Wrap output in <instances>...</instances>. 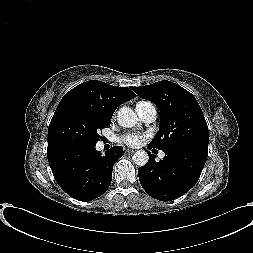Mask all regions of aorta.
<instances>
[{
    "instance_id": "762f6f07",
    "label": "aorta",
    "mask_w": 253,
    "mask_h": 253,
    "mask_svg": "<svg viewBox=\"0 0 253 253\" xmlns=\"http://www.w3.org/2000/svg\"><path fill=\"white\" fill-rule=\"evenodd\" d=\"M117 117L118 124L125 128L134 127L138 122L136 113L129 107H122L119 110ZM132 159L136 165L144 166L147 164L149 156L146 151L138 150L134 153Z\"/></svg>"
}]
</instances>
